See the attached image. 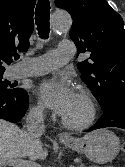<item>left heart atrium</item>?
<instances>
[{"mask_svg": "<svg viewBox=\"0 0 125 167\" xmlns=\"http://www.w3.org/2000/svg\"><path fill=\"white\" fill-rule=\"evenodd\" d=\"M35 91L44 105L64 116L70 108L75 90L66 77H50L39 82Z\"/></svg>", "mask_w": 125, "mask_h": 167, "instance_id": "1", "label": "left heart atrium"}]
</instances>
